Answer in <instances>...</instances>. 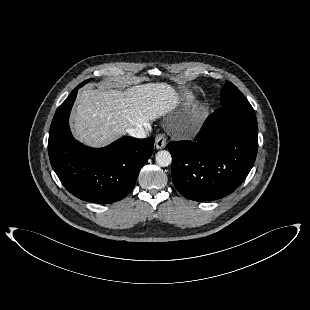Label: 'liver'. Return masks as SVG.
<instances>
[{
  "label": "liver",
  "instance_id": "liver-1",
  "mask_svg": "<svg viewBox=\"0 0 310 310\" xmlns=\"http://www.w3.org/2000/svg\"><path fill=\"white\" fill-rule=\"evenodd\" d=\"M181 103L175 88L165 82L125 89H83L72 114L75 137L91 147H103L128 128L148 125L174 111Z\"/></svg>",
  "mask_w": 310,
  "mask_h": 310
}]
</instances>
